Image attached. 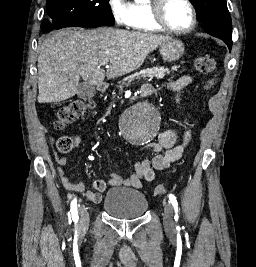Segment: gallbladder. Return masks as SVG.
Returning a JSON list of instances; mask_svg holds the SVG:
<instances>
[{
	"label": "gallbladder",
	"instance_id": "bac80fb5",
	"mask_svg": "<svg viewBox=\"0 0 256 267\" xmlns=\"http://www.w3.org/2000/svg\"><path fill=\"white\" fill-rule=\"evenodd\" d=\"M94 94H96L95 86H90V84H79L77 88V96L81 98V100H90L93 98Z\"/></svg>",
	"mask_w": 256,
	"mask_h": 267
}]
</instances>
